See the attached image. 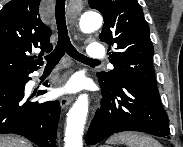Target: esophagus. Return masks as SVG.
<instances>
[{
    "label": "esophagus",
    "mask_w": 183,
    "mask_h": 147,
    "mask_svg": "<svg viewBox=\"0 0 183 147\" xmlns=\"http://www.w3.org/2000/svg\"><path fill=\"white\" fill-rule=\"evenodd\" d=\"M72 101H73V97L71 95H62L60 97L61 108L64 109L65 107L70 105Z\"/></svg>",
    "instance_id": "1"
}]
</instances>
